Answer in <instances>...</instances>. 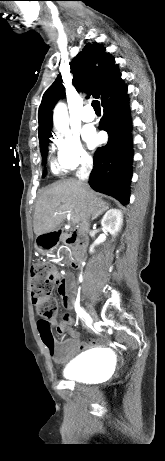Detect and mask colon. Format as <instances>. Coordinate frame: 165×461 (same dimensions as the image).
Segmentation results:
<instances>
[{"label": "colon", "instance_id": "obj_1", "mask_svg": "<svg viewBox=\"0 0 165 461\" xmlns=\"http://www.w3.org/2000/svg\"><path fill=\"white\" fill-rule=\"evenodd\" d=\"M49 241L50 239L45 238ZM61 277L58 269L47 263L37 262L31 267V296L32 302L42 319L39 321V330L44 344L50 348L55 345L50 319L57 314V302L51 297L53 288L58 285Z\"/></svg>", "mask_w": 165, "mask_h": 461}]
</instances>
